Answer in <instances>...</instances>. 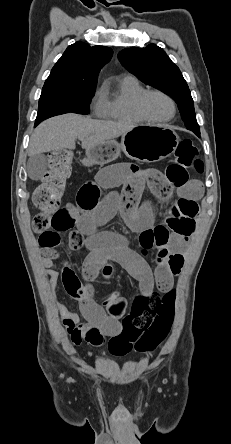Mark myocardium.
Wrapping results in <instances>:
<instances>
[{"mask_svg": "<svg viewBox=\"0 0 231 444\" xmlns=\"http://www.w3.org/2000/svg\"><path fill=\"white\" fill-rule=\"evenodd\" d=\"M152 94H158L161 95L163 97H165L166 99L169 100V102L172 105V114L169 118L166 119H155L153 117H151L150 115H148V113L145 110V101L147 99L148 96L152 95ZM135 111L137 113V115L146 122H150V123H167L170 122L176 115L177 113V105L175 100L166 92L159 90V89H147L144 90L136 99L135 101Z\"/></svg>", "mask_w": 231, "mask_h": 444, "instance_id": "myocardium-1", "label": "myocardium"}]
</instances>
